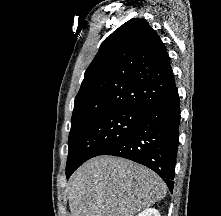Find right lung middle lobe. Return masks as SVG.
I'll list each match as a JSON object with an SVG mask.
<instances>
[{"label": "right lung middle lobe", "instance_id": "dd1d6c3e", "mask_svg": "<svg viewBox=\"0 0 221 216\" xmlns=\"http://www.w3.org/2000/svg\"><path fill=\"white\" fill-rule=\"evenodd\" d=\"M143 110L119 109L91 117L71 126L66 174L70 167L103 155L129 136L139 124Z\"/></svg>", "mask_w": 221, "mask_h": 216}]
</instances>
